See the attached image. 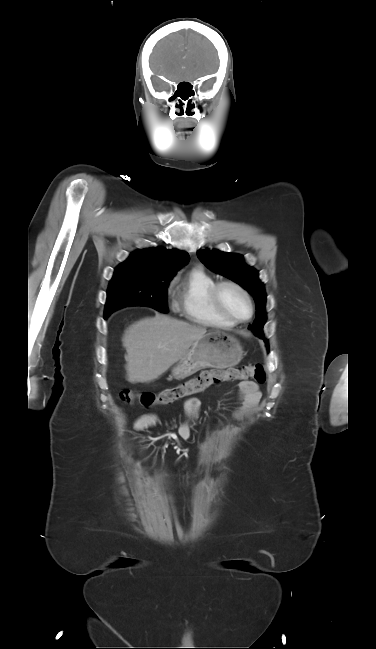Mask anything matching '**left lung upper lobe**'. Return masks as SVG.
Here are the masks:
<instances>
[{
	"mask_svg": "<svg viewBox=\"0 0 376 649\" xmlns=\"http://www.w3.org/2000/svg\"><path fill=\"white\" fill-rule=\"evenodd\" d=\"M197 256L209 269L232 279L254 296L256 319L249 329L257 336L263 337V326L266 321V294L264 284L258 278V271L246 265L242 255L239 254L204 250L198 251Z\"/></svg>",
	"mask_w": 376,
	"mask_h": 649,
	"instance_id": "left-lung-upper-lobe-1",
	"label": "left lung upper lobe"
}]
</instances>
